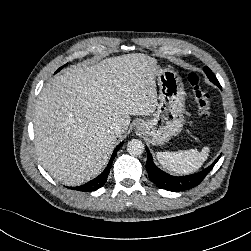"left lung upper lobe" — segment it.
Listing matches in <instances>:
<instances>
[{
    "label": "left lung upper lobe",
    "instance_id": "left-lung-upper-lobe-1",
    "mask_svg": "<svg viewBox=\"0 0 251 251\" xmlns=\"http://www.w3.org/2000/svg\"><path fill=\"white\" fill-rule=\"evenodd\" d=\"M203 69H204V72L206 73V75L208 76V78L210 79L211 82H213L215 85H216V83L219 84L217 78L215 77L213 72L207 66H205Z\"/></svg>",
    "mask_w": 251,
    "mask_h": 251
}]
</instances>
